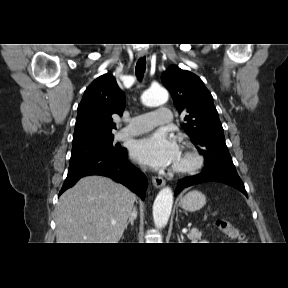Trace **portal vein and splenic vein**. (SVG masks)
Listing matches in <instances>:
<instances>
[{
    "instance_id": "18ae733b",
    "label": "portal vein and splenic vein",
    "mask_w": 288,
    "mask_h": 288,
    "mask_svg": "<svg viewBox=\"0 0 288 288\" xmlns=\"http://www.w3.org/2000/svg\"><path fill=\"white\" fill-rule=\"evenodd\" d=\"M182 232H183L184 234H186V233H187V229H186V228L182 229Z\"/></svg>"
}]
</instances>
